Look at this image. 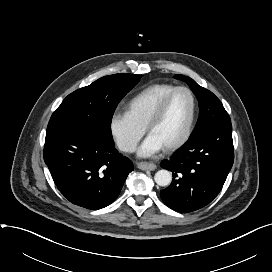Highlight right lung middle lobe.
<instances>
[{
    "mask_svg": "<svg viewBox=\"0 0 272 272\" xmlns=\"http://www.w3.org/2000/svg\"><path fill=\"white\" fill-rule=\"evenodd\" d=\"M141 76L109 75L69 94L52 114L46 137L65 130L86 128L113 141V113L121 99L139 82Z\"/></svg>",
    "mask_w": 272,
    "mask_h": 272,
    "instance_id": "1",
    "label": "right lung middle lobe"
}]
</instances>
